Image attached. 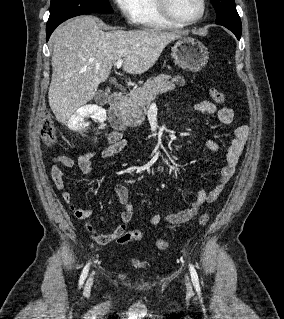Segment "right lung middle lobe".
<instances>
[{
  "instance_id": "1",
  "label": "right lung middle lobe",
  "mask_w": 284,
  "mask_h": 319,
  "mask_svg": "<svg viewBox=\"0 0 284 319\" xmlns=\"http://www.w3.org/2000/svg\"><path fill=\"white\" fill-rule=\"evenodd\" d=\"M92 12L112 13L113 9L108 0H51L46 29L55 27L69 18Z\"/></svg>"
}]
</instances>
